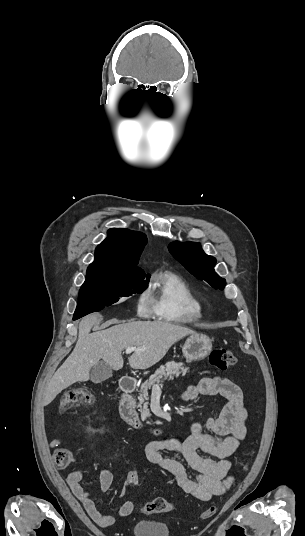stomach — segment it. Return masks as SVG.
Masks as SVG:
<instances>
[{
  "mask_svg": "<svg viewBox=\"0 0 305 536\" xmlns=\"http://www.w3.org/2000/svg\"><path fill=\"white\" fill-rule=\"evenodd\" d=\"M182 352L186 360H204L212 352V340L205 334H192L187 338Z\"/></svg>",
  "mask_w": 305,
  "mask_h": 536,
  "instance_id": "0dacf381",
  "label": "stomach"
}]
</instances>
